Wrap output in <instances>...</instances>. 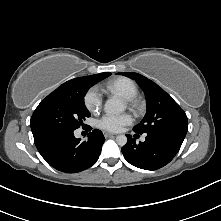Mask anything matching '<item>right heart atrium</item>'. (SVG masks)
Segmentation results:
<instances>
[{
  "mask_svg": "<svg viewBox=\"0 0 221 221\" xmlns=\"http://www.w3.org/2000/svg\"><path fill=\"white\" fill-rule=\"evenodd\" d=\"M85 107L90 112H97L102 106V94L96 86L87 90L84 95Z\"/></svg>",
  "mask_w": 221,
  "mask_h": 221,
  "instance_id": "1",
  "label": "right heart atrium"
}]
</instances>
